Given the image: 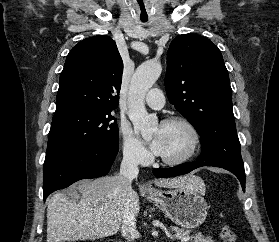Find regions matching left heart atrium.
<instances>
[{
	"instance_id": "obj_1",
	"label": "left heart atrium",
	"mask_w": 279,
	"mask_h": 242,
	"mask_svg": "<svg viewBox=\"0 0 279 242\" xmlns=\"http://www.w3.org/2000/svg\"><path fill=\"white\" fill-rule=\"evenodd\" d=\"M150 147L155 154L160 155L162 150V140L160 135L157 134L154 136V138L150 142Z\"/></svg>"
}]
</instances>
